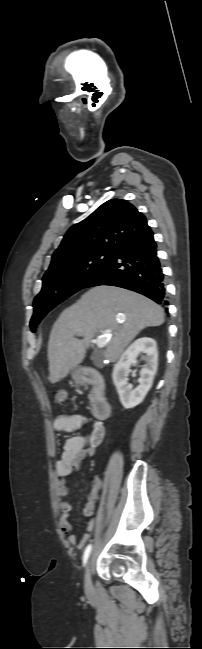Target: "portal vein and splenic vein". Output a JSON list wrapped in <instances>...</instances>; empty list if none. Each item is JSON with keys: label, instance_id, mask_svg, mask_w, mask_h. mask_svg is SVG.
I'll use <instances>...</instances> for the list:
<instances>
[{"label": "portal vein and splenic vein", "instance_id": "obj_1", "mask_svg": "<svg viewBox=\"0 0 202 649\" xmlns=\"http://www.w3.org/2000/svg\"><path fill=\"white\" fill-rule=\"evenodd\" d=\"M109 340V334H99L97 335L95 342L98 347L104 346Z\"/></svg>", "mask_w": 202, "mask_h": 649}]
</instances>
